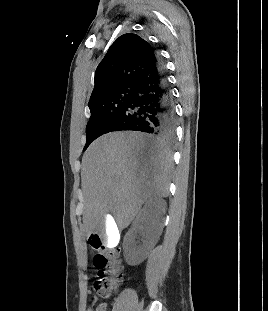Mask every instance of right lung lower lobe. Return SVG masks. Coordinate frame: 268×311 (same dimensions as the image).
I'll use <instances>...</instances> for the list:
<instances>
[{
	"mask_svg": "<svg viewBox=\"0 0 268 311\" xmlns=\"http://www.w3.org/2000/svg\"><path fill=\"white\" fill-rule=\"evenodd\" d=\"M176 115L161 60L148 69L135 83L134 92L124 110L109 126L108 132L141 131L171 142Z\"/></svg>",
	"mask_w": 268,
	"mask_h": 311,
	"instance_id": "98d812e1",
	"label": "right lung lower lobe"
}]
</instances>
